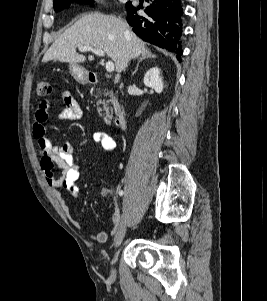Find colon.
<instances>
[{
	"label": "colon",
	"instance_id": "5ec220e1",
	"mask_svg": "<svg viewBox=\"0 0 267 301\" xmlns=\"http://www.w3.org/2000/svg\"><path fill=\"white\" fill-rule=\"evenodd\" d=\"M51 91H52V88H51L50 84L46 81L39 82L37 85V88H36V93L41 98H44V97H47L48 95H50ZM106 199L109 200L110 202L114 203V196L112 194L110 196H108Z\"/></svg>",
	"mask_w": 267,
	"mask_h": 301
}]
</instances>
